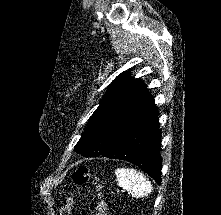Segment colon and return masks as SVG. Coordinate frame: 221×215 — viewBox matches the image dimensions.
I'll list each match as a JSON object with an SVG mask.
<instances>
[{
	"instance_id": "colon-1",
	"label": "colon",
	"mask_w": 221,
	"mask_h": 215,
	"mask_svg": "<svg viewBox=\"0 0 221 215\" xmlns=\"http://www.w3.org/2000/svg\"><path fill=\"white\" fill-rule=\"evenodd\" d=\"M72 180L76 185H84L86 183H92L93 185L97 187L98 191L100 190L97 177H95L90 172V170L85 166H80L73 172ZM72 207H73L72 199H66L58 215H70ZM93 215H107L106 205L104 201L101 200L100 193H99V201L97 202L95 206Z\"/></svg>"
}]
</instances>
